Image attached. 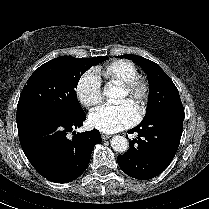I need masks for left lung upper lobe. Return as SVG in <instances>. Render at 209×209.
I'll return each instance as SVG.
<instances>
[{"label": "left lung upper lobe", "instance_id": "left-lung-upper-lobe-1", "mask_svg": "<svg viewBox=\"0 0 209 209\" xmlns=\"http://www.w3.org/2000/svg\"><path fill=\"white\" fill-rule=\"evenodd\" d=\"M120 57L130 59L139 64L148 76L149 99L143 121L164 112L184 111L178 89L158 64L132 54L121 55Z\"/></svg>", "mask_w": 209, "mask_h": 209}]
</instances>
